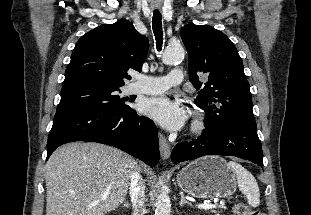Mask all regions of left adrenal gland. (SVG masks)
Instances as JSON below:
<instances>
[{"instance_id":"obj_1","label":"left adrenal gland","mask_w":311,"mask_h":215,"mask_svg":"<svg viewBox=\"0 0 311 215\" xmlns=\"http://www.w3.org/2000/svg\"><path fill=\"white\" fill-rule=\"evenodd\" d=\"M180 196H181V200H180V202H179V205H180V206H183V205H185V204H187V205H189V206H192V203H191V202L185 200L184 194H183L182 192L180 193Z\"/></svg>"}]
</instances>
